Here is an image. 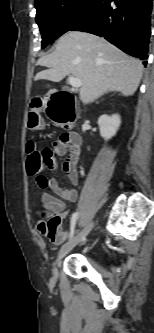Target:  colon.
<instances>
[{"instance_id": "5ec220e1", "label": "colon", "mask_w": 154, "mask_h": 333, "mask_svg": "<svg viewBox=\"0 0 154 333\" xmlns=\"http://www.w3.org/2000/svg\"><path fill=\"white\" fill-rule=\"evenodd\" d=\"M43 100L35 98L31 103V112L28 117V126L37 129L41 125L39 112L43 108ZM62 125L67 127L65 123ZM43 166L41 153L35 148L34 143L29 141L26 146V169L30 175L38 174ZM61 218L58 214H49L45 211L39 213L40 230L48 236L53 242L61 238L59 231Z\"/></svg>"}]
</instances>
